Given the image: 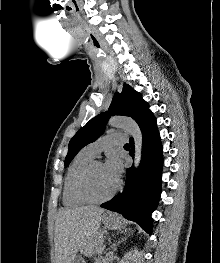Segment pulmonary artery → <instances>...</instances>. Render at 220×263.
<instances>
[{
	"instance_id": "pulmonary-artery-1",
	"label": "pulmonary artery",
	"mask_w": 220,
	"mask_h": 263,
	"mask_svg": "<svg viewBox=\"0 0 220 263\" xmlns=\"http://www.w3.org/2000/svg\"><path fill=\"white\" fill-rule=\"evenodd\" d=\"M127 141V136L122 133H109L98 140L90 143L84 149L92 156L98 155L102 150L113 146L121 145Z\"/></svg>"
}]
</instances>
